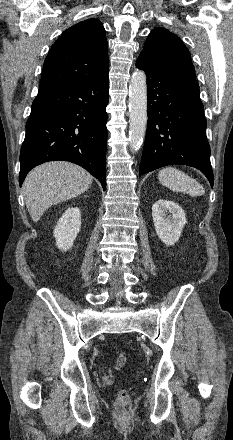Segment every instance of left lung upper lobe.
<instances>
[{
    "label": "left lung upper lobe",
    "instance_id": "left-lung-upper-lobe-1",
    "mask_svg": "<svg viewBox=\"0 0 233 440\" xmlns=\"http://www.w3.org/2000/svg\"><path fill=\"white\" fill-rule=\"evenodd\" d=\"M139 57L162 71L195 78L191 57L184 43L167 29L158 27L148 35Z\"/></svg>",
    "mask_w": 233,
    "mask_h": 440
}]
</instances>
